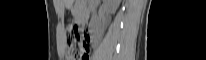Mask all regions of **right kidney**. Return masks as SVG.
Returning a JSON list of instances; mask_svg holds the SVG:
<instances>
[{
    "mask_svg": "<svg viewBox=\"0 0 206 60\" xmlns=\"http://www.w3.org/2000/svg\"><path fill=\"white\" fill-rule=\"evenodd\" d=\"M118 4H119V3H115V2H112V3L110 4V5L112 6V9H111L112 12L114 11L115 7H116ZM93 27H94V32H95V34L98 35V34L100 33V24H99V23H95V24L93 25Z\"/></svg>",
    "mask_w": 206,
    "mask_h": 60,
    "instance_id": "obj_1",
    "label": "right kidney"
}]
</instances>
